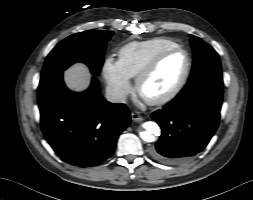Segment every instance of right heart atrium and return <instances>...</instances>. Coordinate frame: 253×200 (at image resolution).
<instances>
[{"label": "right heart atrium", "instance_id": "obj_1", "mask_svg": "<svg viewBox=\"0 0 253 200\" xmlns=\"http://www.w3.org/2000/svg\"><path fill=\"white\" fill-rule=\"evenodd\" d=\"M102 75L110 97L123 102L131 91L130 77L124 72L119 60L107 57L102 65Z\"/></svg>", "mask_w": 253, "mask_h": 200}]
</instances>
